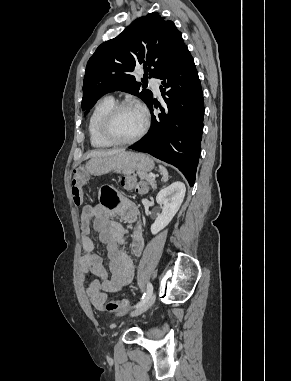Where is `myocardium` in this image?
Returning <instances> with one entry per match:
<instances>
[{
    "label": "myocardium",
    "mask_w": 291,
    "mask_h": 381,
    "mask_svg": "<svg viewBox=\"0 0 291 381\" xmlns=\"http://www.w3.org/2000/svg\"><path fill=\"white\" fill-rule=\"evenodd\" d=\"M128 107L138 108L142 112L143 125H142L141 130L134 137L127 139V140H121V139L116 138L113 135V133L111 132V123H112V120L114 119V117L116 116V114L120 110H122L124 108H128ZM148 127H149V119H148L147 113L139 105H137L136 103L131 102V101H122V102L115 103L103 115V117L101 118L100 123H99V131H100L101 136L106 141H108L109 143H111L112 145H115V146H124V145H130V144L136 143L146 134Z\"/></svg>",
    "instance_id": "obj_1"
}]
</instances>
